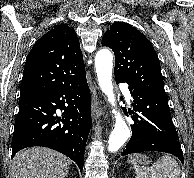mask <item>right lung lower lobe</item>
Here are the masks:
<instances>
[{"instance_id": "98d812e1", "label": "right lung lower lobe", "mask_w": 194, "mask_h": 178, "mask_svg": "<svg viewBox=\"0 0 194 178\" xmlns=\"http://www.w3.org/2000/svg\"><path fill=\"white\" fill-rule=\"evenodd\" d=\"M64 111L56 116V110ZM91 128V97L86 78L80 82L19 99L12 137V157L21 149L44 146L70 157L83 169Z\"/></svg>"}]
</instances>
